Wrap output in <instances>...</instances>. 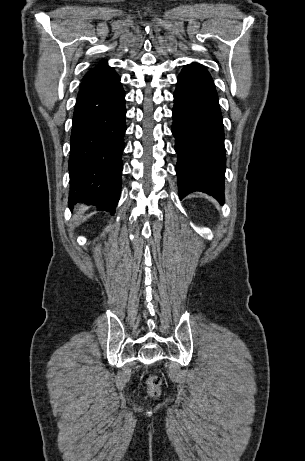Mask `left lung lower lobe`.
<instances>
[{
	"mask_svg": "<svg viewBox=\"0 0 305 461\" xmlns=\"http://www.w3.org/2000/svg\"><path fill=\"white\" fill-rule=\"evenodd\" d=\"M172 133L180 198L202 191L224 201L225 149L218 95L200 64L184 67L174 93Z\"/></svg>",
	"mask_w": 305,
	"mask_h": 461,
	"instance_id": "obj_1",
	"label": "left lung lower lobe"
}]
</instances>
